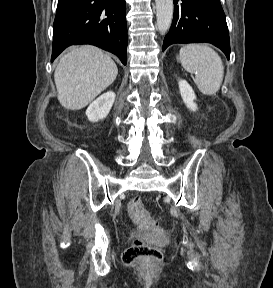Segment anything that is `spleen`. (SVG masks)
<instances>
[{"instance_id": "obj_1", "label": "spleen", "mask_w": 273, "mask_h": 288, "mask_svg": "<svg viewBox=\"0 0 273 288\" xmlns=\"http://www.w3.org/2000/svg\"><path fill=\"white\" fill-rule=\"evenodd\" d=\"M183 68L195 74V83L204 95L215 94L221 86L224 66L218 53L205 44H189L177 56Z\"/></svg>"}]
</instances>
